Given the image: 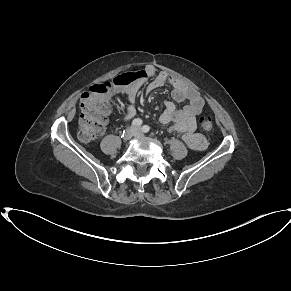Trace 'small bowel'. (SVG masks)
Returning <instances> with one entry per match:
<instances>
[{"instance_id":"1","label":"small bowel","mask_w":291,"mask_h":291,"mask_svg":"<svg viewBox=\"0 0 291 291\" xmlns=\"http://www.w3.org/2000/svg\"><path fill=\"white\" fill-rule=\"evenodd\" d=\"M137 79L131 84L122 87L119 92L127 97L128 103L123 120H129L135 115L134 99L148 78H153L148 89L155 90L166 85L172 87V97L177 102L187 101L188 104L177 108L171 101H166L164 111L160 116V123H172L171 130L183 133V140L193 150H203L205 139L196 132V116L203 110L204 101L197 90L188 83L168 75L165 72H156L153 66H146L137 73Z\"/></svg>"}]
</instances>
